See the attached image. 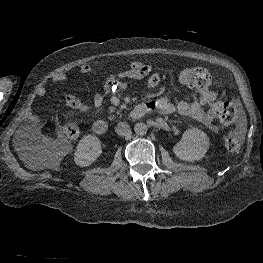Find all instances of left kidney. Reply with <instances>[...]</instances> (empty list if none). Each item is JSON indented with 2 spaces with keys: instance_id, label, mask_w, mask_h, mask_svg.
<instances>
[{
  "instance_id": "5707ae66",
  "label": "left kidney",
  "mask_w": 263,
  "mask_h": 263,
  "mask_svg": "<svg viewBox=\"0 0 263 263\" xmlns=\"http://www.w3.org/2000/svg\"><path fill=\"white\" fill-rule=\"evenodd\" d=\"M209 148V137L198 128L187 129L182 139L177 143L173 151L175 155L184 161L201 160Z\"/></svg>"
}]
</instances>
